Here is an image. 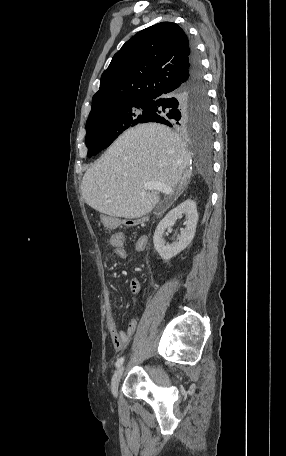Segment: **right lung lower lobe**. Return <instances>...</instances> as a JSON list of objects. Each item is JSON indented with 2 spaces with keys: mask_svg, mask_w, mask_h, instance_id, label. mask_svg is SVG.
<instances>
[{
  "mask_svg": "<svg viewBox=\"0 0 286 456\" xmlns=\"http://www.w3.org/2000/svg\"><path fill=\"white\" fill-rule=\"evenodd\" d=\"M149 101L153 114L147 122H158L190 131L196 125L203 127L210 118L209 103L200 60L194 47L186 79Z\"/></svg>",
  "mask_w": 286,
  "mask_h": 456,
  "instance_id": "1",
  "label": "right lung lower lobe"
}]
</instances>
